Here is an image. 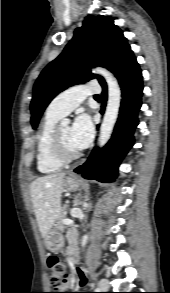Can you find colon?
Masks as SVG:
<instances>
[{
    "label": "colon",
    "instance_id": "colon-1",
    "mask_svg": "<svg viewBox=\"0 0 170 293\" xmlns=\"http://www.w3.org/2000/svg\"><path fill=\"white\" fill-rule=\"evenodd\" d=\"M48 265L50 269V278L53 286V292L50 293H66L65 291L68 282V266L56 256L48 258Z\"/></svg>",
    "mask_w": 170,
    "mask_h": 293
}]
</instances>
